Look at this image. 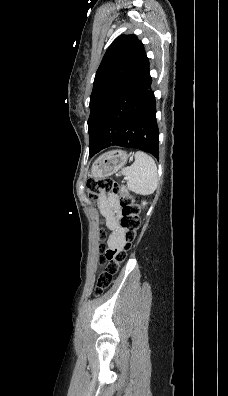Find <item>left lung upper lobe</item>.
Listing matches in <instances>:
<instances>
[{
  "mask_svg": "<svg viewBox=\"0 0 228 396\" xmlns=\"http://www.w3.org/2000/svg\"><path fill=\"white\" fill-rule=\"evenodd\" d=\"M149 65L143 44L135 35H121L110 45L96 72L90 96L89 152H98L99 130L120 114L129 103L126 99L114 104Z\"/></svg>",
  "mask_w": 228,
  "mask_h": 396,
  "instance_id": "obj_1",
  "label": "left lung upper lobe"
}]
</instances>
